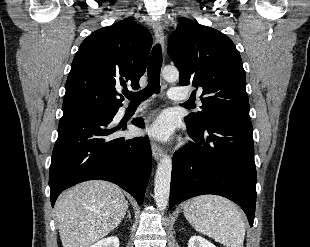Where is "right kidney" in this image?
I'll use <instances>...</instances> for the list:
<instances>
[{
	"label": "right kidney",
	"instance_id": "right-kidney-1",
	"mask_svg": "<svg viewBox=\"0 0 310 247\" xmlns=\"http://www.w3.org/2000/svg\"><path fill=\"white\" fill-rule=\"evenodd\" d=\"M90 247H119V239L116 236L104 238Z\"/></svg>",
	"mask_w": 310,
	"mask_h": 247
}]
</instances>
